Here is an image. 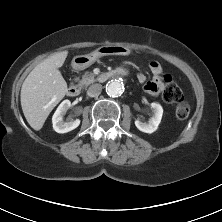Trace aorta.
<instances>
[{
	"instance_id": "aorta-1",
	"label": "aorta",
	"mask_w": 222,
	"mask_h": 222,
	"mask_svg": "<svg viewBox=\"0 0 222 222\" xmlns=\"http://www.w3.org/2000/svg\"><path fill=\"white\" fill-rule=\"evenodd\" d=\"M124 91V84L120 79H112L106 84V92L109 96L118 97Z\"/></svg>"
}]
</instances>
